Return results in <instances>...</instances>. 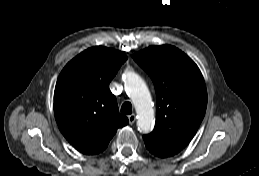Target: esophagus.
Wrapping results in <instances>:
<instances>
[{"mask_svg":"<svg viewBox=\"0 0 259 176\" xmlns=\"http://www.w3.org/2000/svg\"><path fill=\"white\" fill-rule=\"evenodd\" d=\"M128 120H129V124H134L135 120H136V116L135 114H131L128 116Z\"/></svg>","mask_w":259,"mask_h":176,"instance_id":"esophagus-1","label":"esophagus"}]
</instances>
